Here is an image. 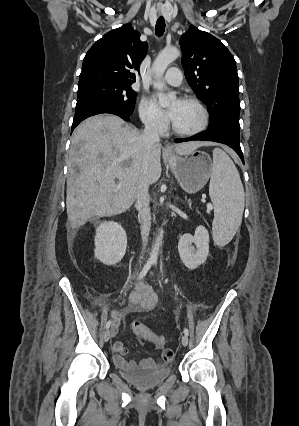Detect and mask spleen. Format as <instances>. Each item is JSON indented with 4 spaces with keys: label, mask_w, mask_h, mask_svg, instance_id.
Wrapping results in <instances>:
<instances>
[{
    "label": "spleen",
    "mask_w": 299,
    "mask_h": 426,
    "mask_svg": "<svg viewBox=\"0 0 299 426\" xmlns=\"http://www.w3.org/2000/svg\"><path fill=\"white\" fill-rule=\"evenodd\" d=\"M209 195L214 205L213 239L218 246H224L241 225L245 194L232 159L219 148L213 150Z\"/></svg>",
    "instance_id": "1"
}]
</instances>
